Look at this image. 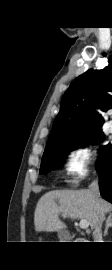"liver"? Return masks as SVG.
I'll use <instances>...</instances> for the list:
<instances>
[{"instance_id":"1","label":"liver","mask_w":112,"mask_h":270,"mask_svg":"<svg viewBox=\"0 0 112 270\" xmlns=\"http://www.w3.org/2000/svg\"><path fill=\"white\" fill-rule=\"evenodd\" d=\"M111 211L112 204L95 197L89 189L49 191L37 202L34 211L35 231L54 232L66 229V224L59 218L60 214L71 219H85L93 230L100 214Z\"/></svg>"}]
</instances>
